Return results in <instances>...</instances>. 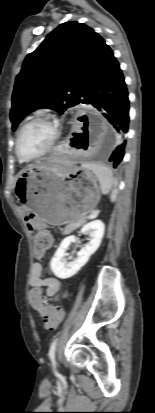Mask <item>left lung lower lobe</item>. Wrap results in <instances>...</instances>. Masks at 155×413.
I'll use <instances>...</instances> for the list:
<instances>
[{
    "mask_svg": "<svg viewBox=\"0 0 155 413\" xmlns=\"http://www.w3.org/2000/svg\"><path fill=\"white\" fill-rule=\"evenodd\" d=\"M81 103L90 104L103 113L111 122L120 126L125 139L129 124V100L124 76L113 51L107 47L101 60L88 77ZM118 129L117 126H115ZM119 145L112 153L109 161L116 168L123 159L125 143Z\"/></svg>",
    "mask_w": 155,
    "mask_h": 413,
    "instance_id": "1",
    "label": "left lung lower lobe"
}]
</instances>
